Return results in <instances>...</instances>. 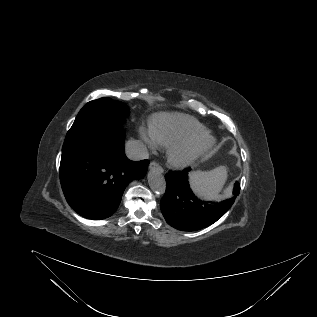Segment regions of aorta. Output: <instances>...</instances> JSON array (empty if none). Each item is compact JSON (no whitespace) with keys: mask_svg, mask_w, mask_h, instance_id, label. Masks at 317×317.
<instances>
[{"mask_svg":"<svg viewBox=\"0 0 317 317\" xmlns=\"http://www.w3.org/2000/svg\"><path fill=\"white\" fill-rule=\"evenodd\" d=\"M148 183L151 190L157 194H164L166 190V181L158 167H153L148 173Z\"/></svg>","mask_w":317,"mask_h":317,"instance_id":"1","label":"aorta"}]
</instances>
